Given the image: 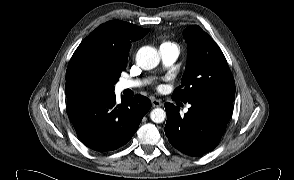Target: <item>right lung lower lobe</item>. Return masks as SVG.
Masks as SVG:
<instances>
[{
	"label": "right lung lower lobe",
	"mask_w": 294,
	"mask_h": 180,
	"mask_svg": "<svg viewBox=\"0 0 294 180\" xmlns=\"http://www.w3.org/2000/svg\"><path fill=\"white\" fill-rule=\"evenodd\" d=\"M121 101L116 102L114 92L68 101V116L86 146L98 152L111 151L132 138L151 102L141 95L121 97Z\"/></svg>",
	"instance_id": "98d812e1"
}]
</instances>
